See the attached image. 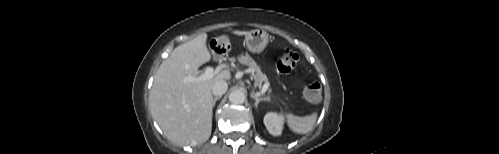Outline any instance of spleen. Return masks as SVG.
I'll return each instance as SVG.
<instances>
[{"instance_id":"3e777b00","label":"spleen","mask_w":499,"mask_h":154,"mask_svg":"<svg viewBox=\"0 0 499 154\" xmlns=\"http://www.w3.org/2000/svg\"><path fill=\"white\" fill-rule=\"evenodd\" d=\"M317 119V112L310 115L299 117L293 114L287 115V123L289 128L297 134H306L312 130Z\"/></svg>"}]
</instances>
